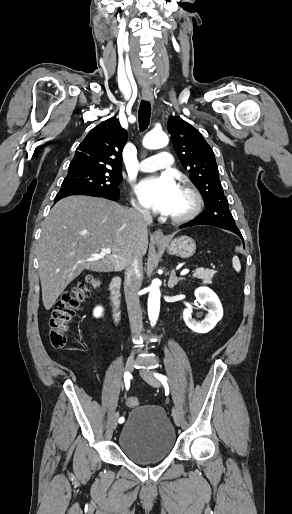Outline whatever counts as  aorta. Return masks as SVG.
<instances>
[{
    "label": "aorta",
    "mask_w": 292,
    "mask_h": 514,
    "mask_svg": "<svg viewBox=\"0 0 292 514\" xmlns=\"http://www.w3.org/2000/svg\"><path fill=\"white\" fill-rule=\"evenodd\" d=\"M169 144V138L165 132H159V130H151L143 140V146L149 148V150H158V148H165ZM158 280H153L149 288L148 298V316L152 324H155L160 310V290Z\"/></svg>",
    "instance_id": "762f6f07"
}]
</instances>
